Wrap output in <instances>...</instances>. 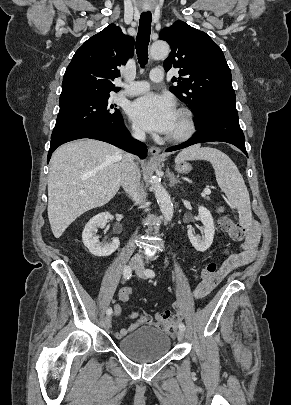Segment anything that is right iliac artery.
Listing matches in <instances>:
<instances>
[{
	"label": "right iliac artery",
	"mask_w": 291,
	"mask_h": 405,
	"mask_svg": "<svg viewBox=\"0 0 291 405\" xmlns=\"http://www.w3.org/2000/svg\"><path fill=\"white\" fill-rule=\"evenodd\" d=\"M132 275V271L131 268L129 266H126L123 270V276L126 280H129L131 278ZM107 315H111L112 314V308H108L106 310Z\"/></svg>",
	"instance_id": "right-iliac-artery-1"
}]
</instances>
